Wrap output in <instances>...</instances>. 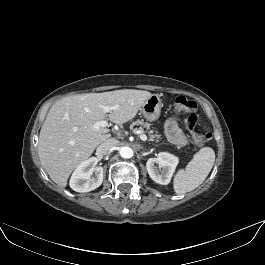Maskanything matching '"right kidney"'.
<instances>
[{"mask_svg":"<svg viewBox=\"0 0 265 265\" xmlns=\"http://www.w3.org/2000/svg\"><path fill=\"white\" fill-rule=\"evenodd\" d=\"M97 164L98 159L95 157L79 164L71 176L70 187L80 193L98 188L103 182V168Z\"/></svg>","mask_w":265,"mask_h":265,"instance_id":"ca27d5eb","label":"right kidney"}]
</instances>
